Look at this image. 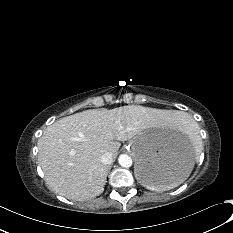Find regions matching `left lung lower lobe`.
I'll list each match as a JSON object with an SVG mask.
<instances>
[{
    "instance_id": "obj_1",
    "label": "left lung lower lobe",
    "mask_w": 233,
    "mask_h": 233,
    "mask_svg": "<svg viewBox=\"0 0 233 233\" xmlns=\"http://www.w3.org/2000/svg\"><path fill=\"white\" fill-rule=\"evenodd\" d=\"M140 175L143 180L151 183L161 182L167 178L161 171L149 167H143Z\"/></svg>"
}]
</instances>
